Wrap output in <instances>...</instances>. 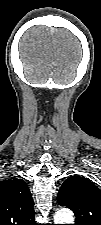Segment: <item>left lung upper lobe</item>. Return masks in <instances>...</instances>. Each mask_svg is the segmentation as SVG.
<instances>
[{"label":"left lung upper lobe","mask_w":101,"mask_h":225,"mask_svg":"<svg viewBox=\"0 0 101 225\" xmlns=\"http://www.w3.org/2000/svg\"><path fill=\"white\" fill-rule=\"evenodd\" d=\"M57 202L73 211L75 225H101V191L88 179L73 176L65 180Z\"/></svg>","instance_id":"obj_1"}]
</instances>
